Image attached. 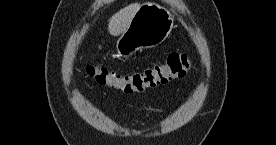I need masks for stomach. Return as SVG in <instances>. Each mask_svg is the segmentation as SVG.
Wrapping results in <instances>:
<instances>
[{
    "label": "stomach",
    "mask_w": 276,
    "mask_h": 145,
    "mask_svg": "<svg viewBox=\"0 0 276 145\" xmlns=\"http://www.w3.org/2000/svg\"><path fill=\"white\" fill-rule=\"evenodd\" d=\"M173 26L174 19L168 9L149 1L143 3L116 42L118 56L128 58L138 50L161 44Z\"/></svg>",
    "instance_id": "obj_1"
}]
</instances>
